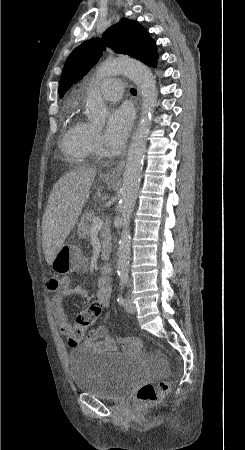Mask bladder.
Here are the masks:
<instances>
[{"label":"bladder","mask_w":245,"mask_h":450,"mask_svg":"<svg viewBox=\"0 0 245 450\" xmlns=\"http://www.w3.org/2000/svg\"><path fill=\"white\" fill-rule=\"evenodd\" d=\"M77 392L106 400H119L132 391L146 376L138 355L81 349L68 358Z\"/></svg>","instance_id":"31cf9c89"}]
</instances>
